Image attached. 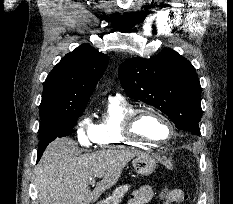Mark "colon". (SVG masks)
<instances>
[{
  "instance_id": "1",
  "label": "colon",
  "mask_w": 233,
  "mask_h": 204,
  "mask_svg": "<svg viewBox=\"0 0 233 204\" xmlns=\"http://www.w3.org/2000/svg\"><path fill=\"white\" fill-rule=\"evenodd\" d=\"M161 196L164 204H177L179 200V195L176 192V189L167 188L163 190Z\"/></svg>"
}]
</instances>
